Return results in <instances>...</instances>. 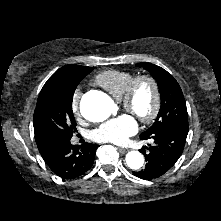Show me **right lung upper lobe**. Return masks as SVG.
<instances>
[{
    "label": "right lung upper lobe",
    "instance_id": "cb5924a9",
    "mask_svg": "<svg viewBox=\"0 0 221 221\" xmlns=\"http://www.w3.org/2000/svg\"><path fill=\"white\" fill-rule=\"evenodd\" d=\"M66 66H67V65H66ZM63 69H64V67H62V68H60L59 70H57V71L47 80V82H50V81L54 80V79L57 77V75H58Z\"/></svg>",
    "mask_w": 221,
    "mask_h": 221
}]
</instances>
